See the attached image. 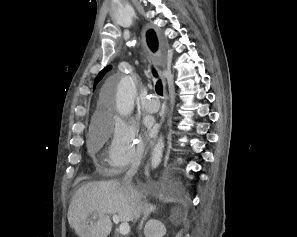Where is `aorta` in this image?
Listing matches in <instances>:
<instances>
[{
    "label": "aorta",
    "mask_w": 297,
    "mask_h": 237,
    "mask_svg": "<svg viewBox=\"0 0 297 237\" xmlns=\"http://www.w3.org/2000/svg\"><path fill=\"white\" fill-rule=\"evenodd\" d=\"M136 95L135 78L126 76L121 79L117 87L116 110L122 116L131 114L134 108V99ZM163 140L160 139L154 148L152 154V166L156 167L161 161L163 152Z\"/></svg>",
    "instance_id": "obj_1"
}]
</instances>
